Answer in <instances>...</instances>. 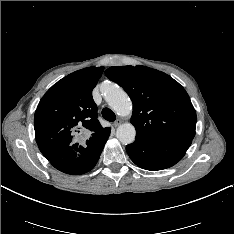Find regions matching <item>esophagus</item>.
Wrapping results in <instances>:
<instances>
[{
	"instance_id": "obj_1",
	"label": "esophagus",
	"mask_w": 234,
	"mask_h": 234,
	"mask_svg": "<svg viewBox=\"0 0 234 234\" xmlns=\"http://www.w3.org/2000/svg\"><path fill=\"white\" fill-rule=\"evenodd\" d=\"M121 123H122V120L117 119V120L114 121L113 125H114V127H118L119 125H121Z\"/></svg>"
}]
</instances>
